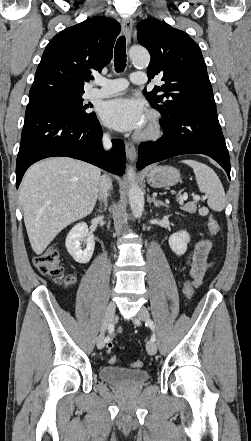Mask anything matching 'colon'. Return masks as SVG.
Returning <instances> with one entry per match:
<instances>
[{"label":"colon","mask_w":251,"mask_h":441,"mask_svg":"<svg viewBox=\"0 0 251 441\" xmlns=\"http://www.w3.org/2000/svg\"><path fill=\"white\" fill-rule=\"evenodd\" d=\"M207 225L212 235L218 234L220 226L217 220L212 215H209ZM34 265L42 275L47 276L58 283L68 285L73 282V277L65 274L64 267L61 264L59 250L55 246L48 247L40 255L35 257ZM194 286V280L186 281L184 285V293L187 298H191L193 296ZM113 348V342H109L107 345V351L111 352ZM108 361L110 364H115L117 362V357L112 355L109 357ZM142 365L143 362L140 360H135L131 363V366L133 368H140L142 367Z\"/></svg>","instance_id":"colon-1"}]
</instances>
